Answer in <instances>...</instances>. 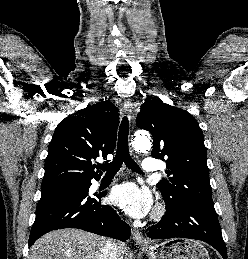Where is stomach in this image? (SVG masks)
Wrapping results in <instances>:
<instances>
[{
  "label": "stomach",
  "instance_id": "0dacf381",
  "mask_svg": "<svg viewBox=\"0 0 248 259\" xmlns=\"http://www.w3.org/2000/svg\"><path fill=\"white\" fill-rule=\"evenodd\" d=\"M141 249L149 259H210L207 249L190 239H170Z\"/></svg>",
  "mask_w": 248,
  "mask_h": 259
}]
</instances>
